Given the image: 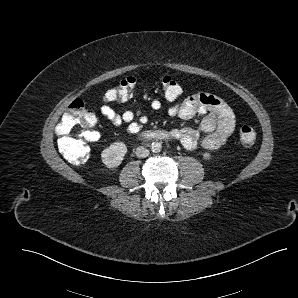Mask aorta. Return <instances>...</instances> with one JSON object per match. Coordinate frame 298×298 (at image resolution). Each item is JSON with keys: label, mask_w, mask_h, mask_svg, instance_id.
<instances>
[{"label": "aorta", "mask_w": 298, "mask_h": 298, "mask_svg": "<svg viewBox=\"0 0 298 298\" xmlns=\"http://www.w3.org/2000/svg\"><path fill=\"white\" fill-rule=\"evenodd\" d=\"M162 149V144L160 142H153L151 144V151L154 153L160 152Z\"/></svg>", "instance_id": "aorta-1"}]
</instances>
